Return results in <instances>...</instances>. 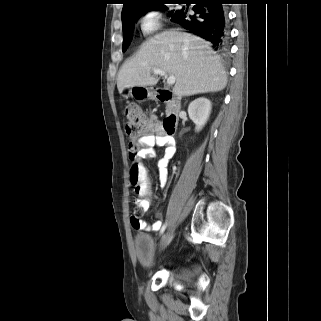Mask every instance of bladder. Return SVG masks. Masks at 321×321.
<instances>
[{"instance_id": "bladder-1", "label": "bladder", "mask_w": 321, "mask_h": 321, "mask_svg": "<svg viewBox=\"0 0 321 321\" xmlns=\"http://www.w3.org/2000/svg\"><path fill=\"white\" fill-rule=\"evenodd\" d=\"M134 249L138 261L146 268L150 269L155 265V239L148 233H138L134 236Z\"/></svg>"}]
</instances>
